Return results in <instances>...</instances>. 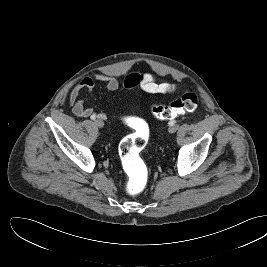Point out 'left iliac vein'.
<instances>
[{"label":"left iliac vein","mask_w":267,"mask_h":267,"mask_svg":"<svg viewBox=\"0 0 267 267\" xmlns=\"http://www.w3.org/2000/svg\"><path fill=\"white\" fill-rule=\"evenodd\" d=\"M178 129V125L174 124L168 128L169 133H175Z\"/></svg>","instance_id":"1"}]
</instances>
